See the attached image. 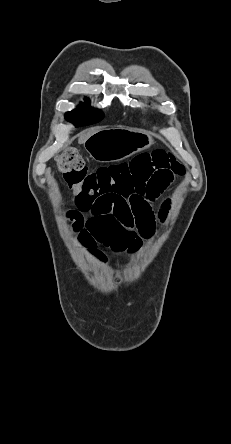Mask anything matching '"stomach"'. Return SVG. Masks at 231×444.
Instances as JSON below:
<instances>
[{
    "mask_svg": "<svg viewBox=\"0 0 231 444\" xmlns=\"http://www.w3.org/2000/svg\"><path fill=\"white\" fill-rule=\"evenodd\" d=\"M154 143L150 133L133 128L100 130L85 141L90 157L100 162L123 160L149 148Z\"/></svg>",
    "mask_w": 231,
    "mask_h": 444,
    "instance_id": "0dacf381",
    "label": "stomach"
}]
</instances>
